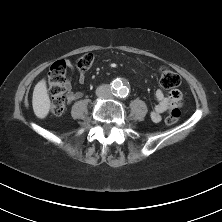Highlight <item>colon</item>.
Segmentation results:
<instances>
[{
  "label": "colon",
  "mask_w": 222,
  "mask_h": 222,
  "mask_svg": "<svg viewBox=\"0 0 222 222\" xmlns=\"http://www.w3.org/2000/svg\"><path fill=\"white\" fill-rule=\"evenodd\" d=\"M95 61V55L93 53H85L81 55L77 60V68L80 72L88 71ZM68 63L65 60H58L54 62L49 70L48 84L49 92L52 97V103L50 111L53 115L59 116L65 110L66 105V72ZM160 85L165 89H175L181 83V78L178 73L169 69L161 68L159 73ZM181 117V111L171 109L169 115L165 119L166 125H173L179 121Z\"/></svg>",
  "instance_id": "1"
}]
</instances>
